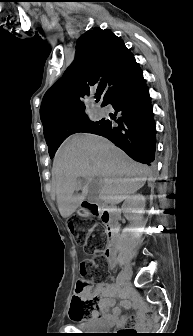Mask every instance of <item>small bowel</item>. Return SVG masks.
Returning <instances> with one entry per match:
<instances>
[{"label": "small bowel", "instance_id": "small-bowel-1", "mask_svg": "<svg viewBox=\"0 0 193 336\" xmlns=\"http://www.w3.org/2000/svg\"><path fill=\"white\" fill-rule=\"evenodd\" d=\"M109 262V261H108ZM112 263V262H109ZM88 294H96L101 298V310L93 316L94 320H102L107 325H115V324H126L129 320L126 318H120V309L115 308L113 313H110L111 307L114 305V289L111 285L100 282L93 289H89L87 291ZM131 293H125V299L123 301V305L128 307L130 305L129 298L131 297ZM148 319L139 314L135 319L134 323L138 326L146 325Z\"/></svg>", "mask_w": 193, "mask_h": 336}]
</instances>
